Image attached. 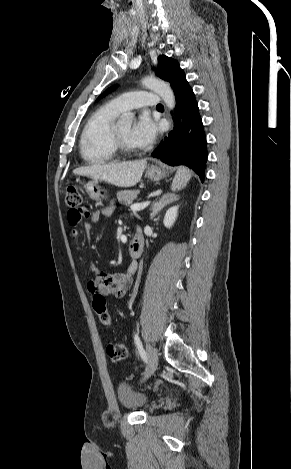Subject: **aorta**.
I'll return each mask as SVG.
<instances>
[{"label":"aorta","instance_id":"762f6f07","mask_svg":"<svg viewBox=\"0 0 291 469\" xmlns=\"http://www.w3.org/2000/svg\"><path fill=\"white\" fill-rule=\"evenodd\" d=\"M141 84L143 87L157 93L163 99L170 111L174 109L175 96L169 84L154 77H145L142 79ZM133 118L134 115L132 113H125L121 115L118 124L130 127L133 122Z\"/></svg>","mask_w":291,"mask_h":469}]
</instances>
